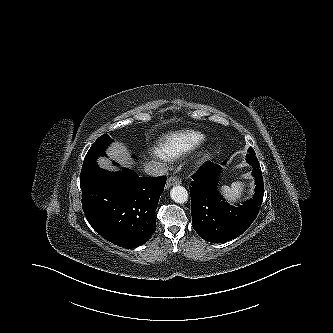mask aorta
<instances>
[{"mask_svg":"<svg viewBox=\"0 0 333 333\" xmlns=\"http://www.w3.org/2000/svg\"><path fill=\"white\" fill-rule=\"evenodd\" d=\"M171 199L179 204H183L188 200V192L183 186H174L170 191Z\"/></svg>","mask_w":333,"mask_h":333,"instance_id":"762f6f07","label":"aorta"}]
</instances>
